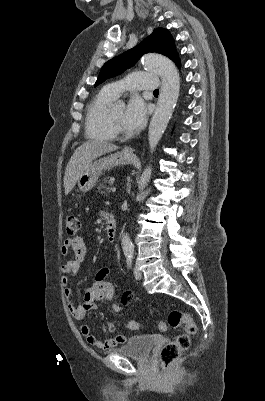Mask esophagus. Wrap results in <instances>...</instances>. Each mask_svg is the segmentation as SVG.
Instances as JSON below:
<instances>
[{
	"label": "esophagus",
	"instance_id": "34e87169",
	"mask_svg": "<svg viewBox=\"0 0 265 401\" xmlns=\"http://www.w3.org/2000/svg\"><path fill=\"white\" fill-rule=\"evenodd\" d=\"M127 151H128L129 153H132V154L134 153V150H133L132 148H128Z\"/></svg>",
	"mask_w": 265,
	"mask_h": 401
}]
</instances>
